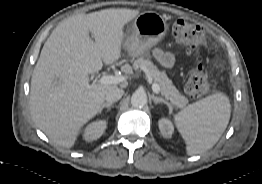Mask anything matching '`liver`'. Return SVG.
Masks as SVG:
<instances>
[{
    "instance_id": "1",
    "label": "liver",
    "mask_w": 262,
    "mask_h": 184,
    "mask_svg": "<svg viewBox=\"0 0 262 184\" xmlns=\"http://www.w3.org/2000/svg\"><path fill=\"white\" fill-rule=\"evenodd\" d=\"M139 14L105 9L60 22L45 42L34 68L30 112L37 127L55 144L73 147L81 128L116 84H89V74L117 62L124 26ZM93 35V41L89 33Z\"/></svg>"
}]
</instances>
